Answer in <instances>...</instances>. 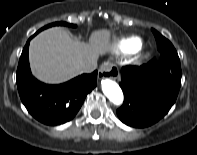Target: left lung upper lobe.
<instances>
[{
	"label": "left lung upper lobe",
	"instance_id": "obj_1",
	"mask_svg": "<svg viewBox=\"0 0 197 155\" xmlns=\"http://www.w3.org/2000/svg\"><path fill=\"white\" fill-rule=\"evenodd\" d=\"M152 32L157 42V48L161 54L163 53L177 54L174 46L168 39H166L164 36H162L159 32H157L154 29H152Z\"/></svg>",
	"mask_w": 197,
	"mask_h": 155
}]
</instances>
